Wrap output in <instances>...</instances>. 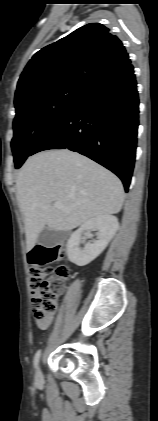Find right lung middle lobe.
I'll return each instance as SVG.
<instances>
[{"label":"right lung middle lobe","instance_id":"right-lung-middle-lobe-1","mask_svg":"<svg viewBox=\"0 0 158 421\" xmlns=\"http://www.w3.org/2000/svg\"><path fill=\"white\" fill-rule=\"evenodd\" d=\"M84 85L59 86L27 96L15 103L11 147L19 168L34 147L69 110Z\"/></svg>","mask_w":158,"mask_h":421}]
</instances>
